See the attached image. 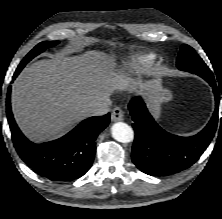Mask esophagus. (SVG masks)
I'll return each instance as SVG.
<instances>
[{
    "instance_id": "34e87169",
    "label": "esophagus",
    "mask_w": 222,
    "mask_h": 219,
    "mask_svg": "<svg viewBox=\"0 0 222 219\" xmlns=\"http://www.w3.org/2000/svg\"><path fill=\"white\" fill-rule=\"evenodd\" d=\"M124 119V111L120 107H115L112 110L111 120L114 122L122 121Z\"/></svg>"
}]
</instances>
